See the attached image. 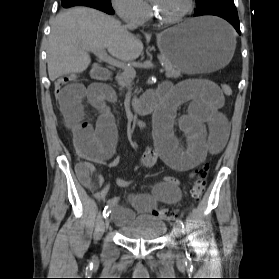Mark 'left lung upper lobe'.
<instances>
[{"label":"left lung upper lobe","instance_id":"5c2ea615","mask_svg":"<svg viewBox=\"0 0 279 279\" xmlns=\"http://www.w3.org/2000/svg\"><path fill=\"white\" fill-rule=\"evenodd\" d=\"M208 1H210V0H196L198 7L201 6V5H204Z\"/></svg>","mask_w":279,"mask_h":279}]
</instances>
